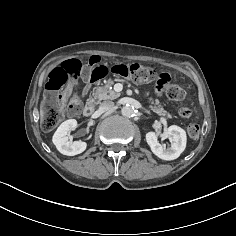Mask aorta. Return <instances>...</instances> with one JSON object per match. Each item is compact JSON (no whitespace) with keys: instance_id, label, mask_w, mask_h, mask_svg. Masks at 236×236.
<instances>
[{"instance_id":"obj_1","label":"aorta","mask_w":236,"mask_h":236,"mask_svg":"<svg viewBox=\"0 0 236 236\" xmlns=\"http://www.w3.org/2000/svg\"><path fill=\"white\" fill-rule=\"evenodd\" d=\"M121 113L125 117H131L134 114V108L130 105L123 106L121 109Z\"/></svg>"}]
</instances>
